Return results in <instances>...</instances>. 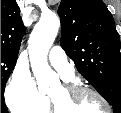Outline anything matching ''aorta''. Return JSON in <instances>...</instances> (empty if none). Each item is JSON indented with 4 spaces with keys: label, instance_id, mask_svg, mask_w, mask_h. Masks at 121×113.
<instances>
[{
    "label": "aorta",
    "instance_id": "1",
    "mask_svg": "<svg viewBox=\"0 0 121 113\" xmlns=\"http://www.w3.org/2000/svg\"><path fill=\"white\" fill-rule=\"evenodd\" d=\"M59 27L60 20L55 14L42 15L28 41L31 68L41 92L48 91L58 81L56 73L48 65L47 56Z\"/></svg>",
    "mask_w": 121,
    "mask_h": 113
}]
</instances>
